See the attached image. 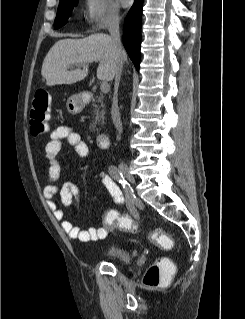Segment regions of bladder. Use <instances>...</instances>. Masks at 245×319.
Instances as JSON below:
<instances>
[{"label":"bladder","mask_w":245,"mask_h":319,"mask_svg":"<svg viewBox=\"0 0 245 319\" xmlns=\"http://www.w3.org/2000/svg\"><path fill=\"white\" fill-rule=\"evenodd\" d=\"M103 259H112L122 263H129L132 255L130 251L122 244L111 243L101 251Z\"/></svg>","instance_id":"1"}]
</instances>
